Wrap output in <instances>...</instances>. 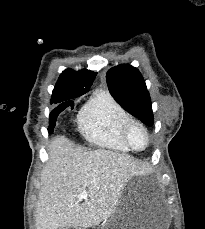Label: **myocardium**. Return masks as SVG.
Here are the masks:
<instances>
[{
  "label": "myocardium",
  "mask_w": 205,
  "mask_h": 229,
  "mask_svg": "<svg viewBox=\"0 0 205 229\" xmlns=\"http://www.w3.org/2000/svg\"><path fill=\"white\" fill-rule=\"evenodd\" d=\"M139 128L142 130V132L144 133V136H145V145L142 147V148H137L133 145L132 141H131V138H130V133L132 131L133 128ZM122 136H123V139L125 141V143L127 144V146L133 150V151H143L145 150L149 144H150V135H149V132L146 128V126L138 121V120H135V119H130L125 125H124V128H123V131H122Z\"/></svg>",
  "instance_id": "myocardium-1"
}]
</instances>
